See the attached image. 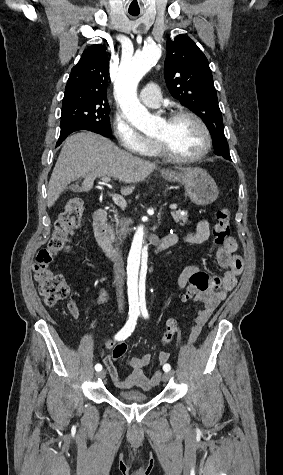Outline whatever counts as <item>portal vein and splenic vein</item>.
<instances>
[{
	"label": "portal vein and splenic vein",
	"instance_id": "1",
	"mask_svg": "<svg viewBox=\"0 0 283 475\" xmlns=\"http://www.w3.org/2000/svg\"><path fill=\"white\" fill-rule=\"evenodd\" d=\"M109 182H111V178H107V176H103V178H101L100 184H103V186H106V184H109ZM121 198L122 196H118V194H113L112 196V200L113 202H115V204H117V206H120ZM170 208L171 210H177V204H171Z\"/></svg>",
	"mask_w": 283,
	"mask_h": 475
}]
</instances>
